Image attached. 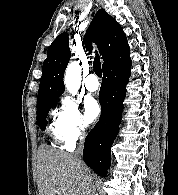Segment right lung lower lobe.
I'll use <instances>...</instances> for the list:
<instances>
[{
  "mask_svg": "<svg viewBox=\"0 0 178 195\" xmlns=\"http://www.w3.org/2000/svg\"><path fill=\"white\" fill-rule=\"evenodd\" d=\"M131 63L103 73L99 93L101 117L85 139L83 160L98 175L105 176L111 163V146L119 131Z\"/></svg>",
  "mask_w": 178,
  "mask_h": 195,
  "instance_id": "98d812e1",
  "label": "right lung lower lobe"
}]
</instances>
